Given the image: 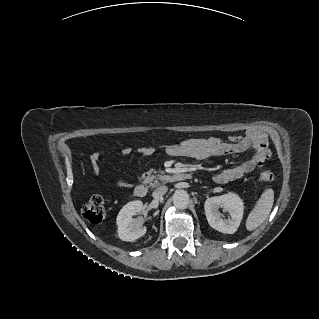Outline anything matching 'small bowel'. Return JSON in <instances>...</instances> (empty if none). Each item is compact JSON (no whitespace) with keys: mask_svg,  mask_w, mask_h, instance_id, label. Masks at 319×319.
Returning a JSON list of instances; mask_svg holds the SVG:
<instances>
[{"mask_svg":"<svg viewBox=\"0 0 319 319\" xmlns=\"http://www.w3.org/2000/svg\"><path fill=\"white\" fill-rule=\"evenodd\" d=\"M266 145V135L261 131H250L245 136H231L224 141L216 137L192 138L164 147L165 152L171 157H187L194 159H206L214 156L228 155L245 152L253 149L254 154L243 162L218 171L213 176L215 182L224 184L229 181L237 180L262 166L267 157L264 155ZM155 148L152 146H141L139 153L143 157H150L154 154ZM132 149L125 146L121 149L123 156H129ZM92 170L95 176L102 172L101 154L95 152L90 156ZM109 176V174H107ZM110 177V176H109ZM115 184L120 188H129L130 183L123 179H115Z\"/></svg>","mask_w":319,"mask_h":319,"instance_id":"small-bowel-1","label":"small bowel"}]
</instances>
